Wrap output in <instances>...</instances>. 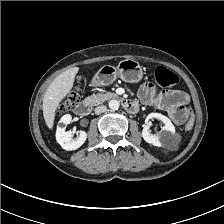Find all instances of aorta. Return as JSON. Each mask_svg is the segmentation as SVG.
I'll return each mask as SVG.
<instances>
[{"mask_svg": "<svg viewBox=\"0 0 224 224\" xmlns=\"http://www.w3.org/2000/svg\"><path fill=\"white\" fill-rule=\"evenodd\" d=\"M108 105L111 110H118L120 103L118 100H111Z\"/></svg>", "mask_w": 224, "mask_h": 224, "instance_id": "obj_1", "label": "aorta"}]
</instances>
